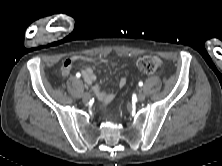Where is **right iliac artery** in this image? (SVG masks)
<instances>
[{
    "instance_id": "82829eb1",
    "label": "right iliac artery",
    "mask_w": 222,
    "mask_h": 166,
    "mask_svg": "<svg viewBox=\"0 0 222 166\" xmlns=\"http://www.w3.org/2000/svg\"><path fill=\"white\" fill-rule=\"evenodd\" d=\"M80 76H81V74H80V73H77V74H76V77H77V78H79Z\"/></svg>"
}]
</instances>
